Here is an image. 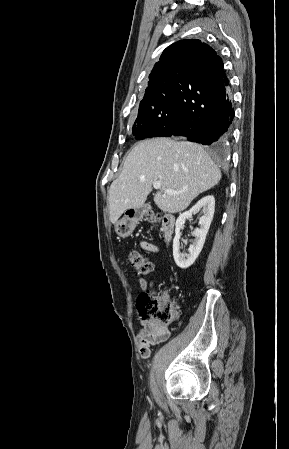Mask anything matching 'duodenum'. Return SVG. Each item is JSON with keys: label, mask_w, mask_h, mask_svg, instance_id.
<instances>
[{"label": "duodenum", "mask_w": 289, "mask_h": 449, "mask_svg": "<svg viewBox=\"0 0 289 449\" xmlns=\"http://www.w3.org/2000/svg\"><path fill=\"white\" fill-rule=\"evenodd\" d=\"M175 228V218L171 214H166L162 218L161 232L164 240L169 242Z\"/></svg>", "instance_id": "duodenum-1"}]
</instances>
